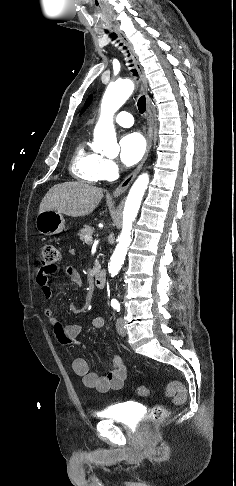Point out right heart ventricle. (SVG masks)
Here are the masks:
<instances>
[{
  "label": "right heart ventricle",
  "instance_id": "e07e8e85",
  "mask_svg": "<svg viewBox=\"0 0 236 486\" xmlns=\"http://www.w3.org/2000/svg\"><path fill=\"white\" fill-rule=\"evenodd\" d=\"M101 160L102 157L90 150L85 140H81L74 148L70 171L74 177L83 182L97 183L102 180L99 171Z\"/></svg>",
  "mask_w": 236,
  "mask_h": 486
}]
</instances>
